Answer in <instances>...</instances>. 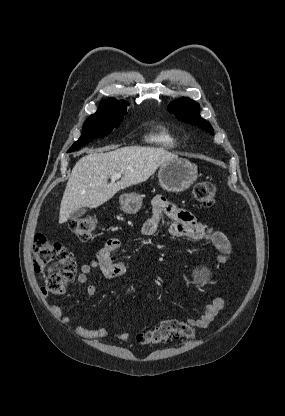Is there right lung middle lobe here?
Here are the masks:
<instances>
[{"instance_id":"dd1d6c3e","label":"right lung middle lobe","mask_w":285,"mask_h":416,"mask_svg":"<svg viewBox=\"0 0 285 416\" xmlns=\"http://www.w3.org/2000/svg\"><path fill=\"white\" fill-rule=\"evenodd\" d=\"M127 109L103 110L91 115L84 124L81 137L70 147L68 152L75 151L92 139L105 137L118 127Z\"/></svg>"}]
</instances>
